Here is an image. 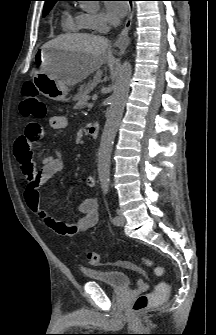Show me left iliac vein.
<instances>
[{"label":"left iliac vein","mask_w":216,"mask_h":335,"mask_svg":"<svg viewBox=\"0 0 216 335\" xmlns=\"http://www.w3.org/2000/svg\"><path fill=\"white\" fill-rule=\"evenodd\" d=\"M118 222L115 223L117 226H123L126 222V218L124 217L123 213L119 210L118 211Z\"/></svg>","instance_id":"obj_1"}]
</instances>
